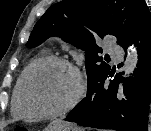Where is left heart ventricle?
Masks as SVG:
<instances>
[{
	"label": "left heart ventricle",
	"mask_w": 151,
	"mask_h": 131,
	"mask_svg": "<svg viewBox=\"0 0 151 131\" xmlns=\"http://www.w3.org/2000/svg\"><path fill=\"white\" fill-rule=\"evenodd\" d=\"M76 87L73 73L60 64H48L31 75L26 92V104L35 111L50 112L61 108Z\"/></svg>",
	"instance_id": "left-heart-ventricle-1"
}]
</instances>
